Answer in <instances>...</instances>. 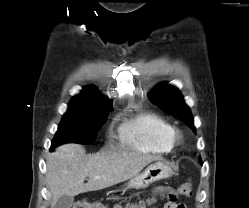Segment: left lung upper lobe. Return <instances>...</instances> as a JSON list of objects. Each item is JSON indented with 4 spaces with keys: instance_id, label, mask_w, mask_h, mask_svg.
Masks as SVG:
<instances>
[{
    "instance_id": "left-lung-upper-lobe-1",
    "label": "left lung upper lobe",
    "mask_w": 249,
    "mask_h": 208,
    "mask_svg": "<svg viewBox=\"0 0 249 208\" xmlns=\"http://www.w3.org/2000/svg\"><path fill=\"white\" fill-rule=\"evenodd\" d=\"M148 97L162 110L171 113L178 119L186 122L190 125L193 131H195L192 114L190 109L185 105L179 90L170 86L165 87L164 84H161L158 85L151 93H149ZM199 161L201 160L199 159Z\"/></svg>"
}]
</instances>
